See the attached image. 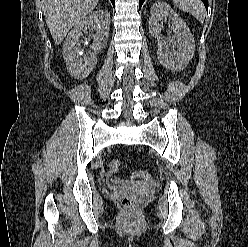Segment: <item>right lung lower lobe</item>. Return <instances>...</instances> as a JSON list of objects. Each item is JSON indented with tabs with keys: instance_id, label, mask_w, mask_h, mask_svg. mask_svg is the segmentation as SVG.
Here are the masks:
<instances>
[{
	"instance_id": "obj_1",
	"label": "right lung lower lobe",
	"mask_w": 248,
	"mask_h": 247,
	"mask_svg": "<svg viewBox=\"0 0 248 247\" xmlns=\"http://www.w3.org/2000/svg\"><path fill=\"white\" fill-rule=\"evenodd\" d=\"M110 1L112 2L113 6H115V0H110Z\"/></svg>"
}]
</instances>
